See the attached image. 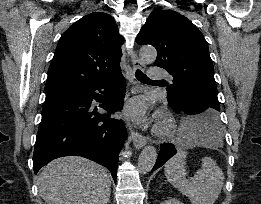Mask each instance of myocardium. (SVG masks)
Instances as JSON below:
<instances>
[{
  "label": "myocardium",
  "mask_w": 261,
  "mask_h": 204,
  "mask_svg": "<svg viewBox=\"0 0 261 204\" xmlns=\"http://www.w3.org/2000/svg\"><path fill=\"white\" fill-rule=\"evenodd\" d=\"M176 129V123L172 115L167 111H160L157 115L153 133L160 138L170 137Z\"/></svg>",
  "instance_id": "obj_1"
}]
</instances>
